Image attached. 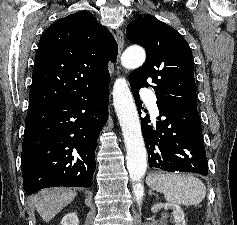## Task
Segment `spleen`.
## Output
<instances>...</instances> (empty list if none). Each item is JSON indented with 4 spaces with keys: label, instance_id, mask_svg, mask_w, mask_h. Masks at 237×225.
Returning <instances> with one entry per match:
<instances>
[{
    "label": "spleen",
    "instance_id": "3e777b00",
    "mask_svg": "<svg viewBox=\"0 0 237 225\" xmlns=\"http://www.w3.org/2000/svg\"><path fill=\"white\" fill-rule=\"evenodd\" d=\"M147 183L173 204L197 205L206 196L205 184L190 174L153 172L148 176Z\"/></svg>",
    "mask_w": 237,
    "mask_h": 225
}]
</instances>
